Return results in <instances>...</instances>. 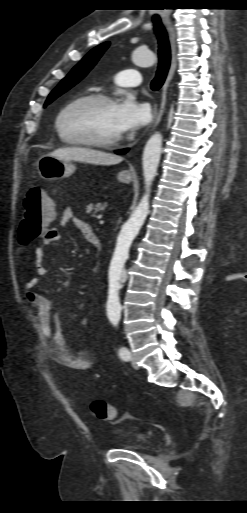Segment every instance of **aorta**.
Instances as JSON below:
<instances>
[{
	"label": "aorta",
	"mask_w": 247,
	"mask_h": 513,
	"mask_svg": "<svg viewBox=\"0 0 247 513\" xmlns=\"http://www.w3.org/2000/svg\"><path fill=\"white\" fill-rule=\"evenodd\" d=\"M132 60L137 66L149 67L155 63L156 57L150 50L136 49L133 52ZM162 140V135L156 132L146 142L142 156L146 192L141 198L136 210L120 231L110 263L108 316L115 322L119 321L121 317L119 290L122 283L123 268L128 258L130 246L149 213L150 188L157 174L162 150Z\"/></svg>",
	"instance_id": "762f6f07"
}]
</instances>
